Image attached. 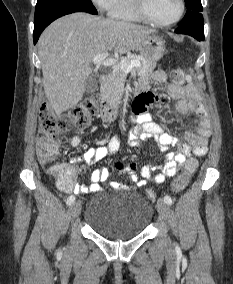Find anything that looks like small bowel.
<instances>
[{"instance_id": "obj_1", "label": "small bowel", "mask_w": 233, "mask_h": 284, "mask_svg": "<svg viewBox=\"0 0 233 284\" xmlns=\"http://www.w3.org/2000/svg\"><path fill=\"white\" fill-rule=\"evenodd\" d=\"M152 81L156 85L167 84V75L163 70H156L152 73ZM142 89L148 88V81L143 79L140 83ZM167 93L176 100V110L185 114L194 110L202 113L203 104L200 93L192 86H181L178 84H167ZM163 98L155 96L150 92L141 93L136 99L133 111L134 121L138 126L131 130L133 141L155 139L163 151H169L175 147V151H169L166 154L165 163L159 173L153 174V168L150 165H144L140 169L138 177L135 164H129L124 173L138 186H144L150 182L162 183L165 179L175 175L178 167L182 166L187 158L191 156L202 157L207 153L208 139L211 135L208 120L202 116L197 126L196 132H186V143H180L178 139L167 132L164 127L152 121L151 115L147 112V107L154 103H163ZM120 141L117 137H112L107 145L89 147L84 151L81 158H74L70 163H60L47 167V172L56 180L57 185L62 189V182L66 178H71L74 185L71 190L66 192L88 193L99 190V182H104L109 177V171L105 167H100L90 175L91 184L89 186L81 185L77 182V177L87 171V166L118 152ZM63 190V189H62ZM65 191V190H64Z\"/></svg>"}]
</instances>
